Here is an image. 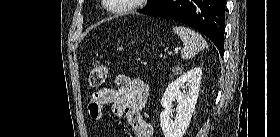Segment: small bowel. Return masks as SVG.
Segmentation results:
<instances>
[{
  "instance_id": "1",
  "label": "small bowel",
  "mask_w": 280,
  "mask_h": 137,
  "mask_svg": "<svg viewBox=\"0 0 280 137\" xmlns=\"http://www.w3.org/2000/svg\"><path fill=\"white\" fill-rule=\"evenodd\" d=\"M115 83L116 88L103 87L92 92L88 103L90 118L100 121L103 106L110 105L114 116L127 119L136 137H150L151 125L141 113L149 97L148 85L123 73L116 76Z\"/></svg>"
}]
</instances>
